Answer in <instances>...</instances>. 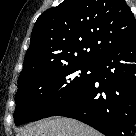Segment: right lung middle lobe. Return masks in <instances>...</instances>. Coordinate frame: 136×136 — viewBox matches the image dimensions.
I'll return each mask as SVG.
<instances>
[{
	"mask_svg": "<svg viewBox=\"0 0 136 136\" xmlns=\"http://www.w3.org/2000/svg\"><path fill=\"white\" fill-rule=\"evenodd\" d=\"M93 63H70L38 71L18 82L16 125L48 117L92 80Z\"/></svg>",
	"mask_w": 136,
	"mask_h": 136,
	"instance_id": "right-lung-middle-lobe-1",
	"label": "right lung middle lobe"
}]
</instances>
